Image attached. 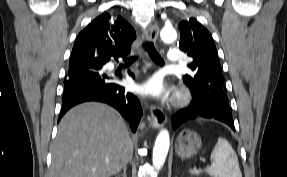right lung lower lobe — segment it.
Instances as JSON below:
<instances>
[{
    "label": "right lung lower lobe",
    "mask_w": 287,
    "mask_h": 177,
    "mask_svg": "<svg viewBox=\"0 0 287 177\" xmlns=\"http://www.w3.org/2000/svg\"><path fill=\"white\" fill-rule=\"evenodd\" d=\"M119 57L125 58L126 54L115 52L111 56L97 55L90 61L69 67L58 121L73 106L97 101L117 109L130 122L132 131H136L143 113L138 98L126 92L124 87L114 83L113 78L102 71L111 58L118 60ZM128 73L134 78L133 73Z\"/></svg>",
    "instance_id": "1"
}]
</instances>
